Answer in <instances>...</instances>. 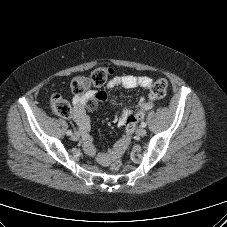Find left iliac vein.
I'll return each instance as SVG.
<instances>
[{
    "label": "left iliac vein",
    "mask_w": 227,
    "mask_h": 227,
    "mask_svg": "<svg viewBox=\"0 0 227 227\" xmlns=\"http://www.w3.org/2000/svg\"><path fill=\"white\" fill-rule=\"evenodd\" d=\"M146 133H147V131L142 127L138 128L136 131V134L140 137H144L146 135Z\"/></svg>",
    "instance_id": "left-iliac-vein-1"
}]
</instances>
